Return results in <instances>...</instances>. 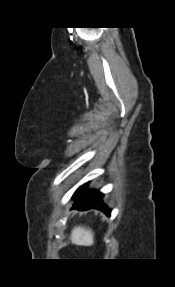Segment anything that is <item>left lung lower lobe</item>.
Wrapping results in <instances>:
<instances>
[{
  "label": "left lung lower lobe",
  "mask_w": 175,
  "mask_h": 287,
  "mask_svg": "<svg viewBox=\"0 0 175 287\" xmlns=\"http://www.w3.org/2000/svg\"><path fill=\"white\" fill-rule=\"evenodd\" d=\"M87 185V183L82 185L74 193L75 204L73 205V209L88 210L91 208H99L110 216L111 211L105 205H103L102 202L103 194L98 190H85ZM83 191L86 192L83 193Z\"/></svg>",
  "instance_id": "left-lung-lower-lobe-1"
}]
</instances>
